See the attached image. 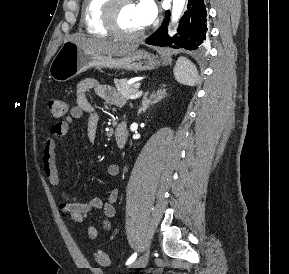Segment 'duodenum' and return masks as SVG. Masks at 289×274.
<instances>
[{
	"mask_svg": "<svg viewBox=\"0 0 289 274\" xmlns=\"http://www.w3.org/2000/svg\"><path fill=\"white\" fill-rule=\"evenodd\" d=\"M115 142L118 148H124L128 138V130L126 122L122 121L118 124L114 133Z\"/></svg>",
	"mask_w": 289,
	"mask_h": 274,
	"instance_id": "obj_1",
	"label": "duodenum"
}]
</instances>
